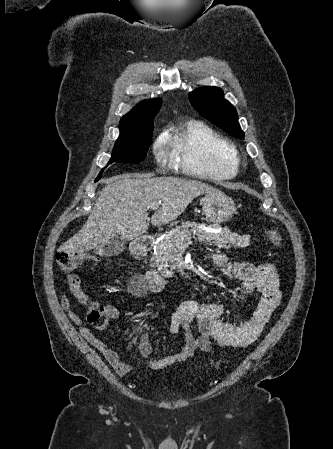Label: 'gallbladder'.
I'll return each instance as SVG.
<instances>
[{"instance_id": "gallbladder-1", "label": "gallbladder", "mask_w": 333, "mask_h": 449, "mask_svg": "<svg viewBox=\"0 0 333 449\" xmlns=\"http://www.w3.org/2000/svg\"><path fill=\"white\" fill-rule=\"evenodd\" d=\"M126 248L125 240L115 236L102 243L95 252L99 256H115L120 254Z\"/></svg>"}]
</instances>
